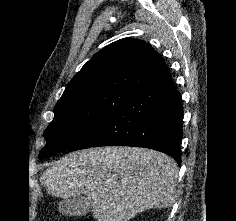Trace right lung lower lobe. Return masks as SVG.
Instances as JSON below:
<instances>
[{
    "label": "right lung lower lobe",
    "mask_w": 236,
    "mask_h": 221,
    "mask_svg": "<svg viewBox=\"0 0 236 221\" xmlns=\"http://www.w3.org/2000/svg\"><path fill=\"white\" fill-rule=\"evenodd\" d=\"M183 107L169 72L138 90L69 151L98 146L154 149L180 164Z\"/></svg>",
    "instance_id": "obj_1"
}]
</instances>
